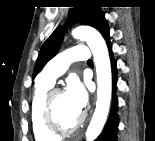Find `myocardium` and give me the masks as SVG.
<instances>
[{"instance_id": "obj_1", "label": "myocardium", "mask_w": 155, "mask_h": 141, "mask_svg": "<svg viewBox=\"0 0 155 141\" xmlns=\"http://www.w3.org/2000/svg\"><path fill=\"white\" fill-rule=\"evenodd\" d=\"M63 93L60 88L50 89L44 97L42 104V123L44 127L52 134L69 135L78 131L84 124V116H80L79 120L72 127H62L54 116V99L56 95Z\"/></svg>"}]
</instances>
